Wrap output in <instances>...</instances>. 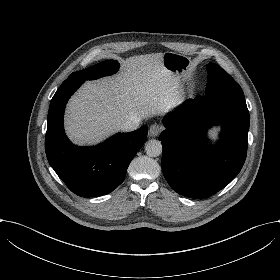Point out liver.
I'll list each match as a JSON object with an SVG mask.
<instances>
[{
    "label": "liver",
    "instance_id": "obj_1",
    "mask_svg": "<svg viewBox=\"0 0 280 280\" xmlns=\"http://www.w3.org/2000/svg\"><path fill=\"white\" fill-rule=\"evenodd\" d=\"M162 59L163 53L132 56L121 61L117 75L87 81L66 110L65 129L72 142L98 143L132 116L146 119L178 104L183 95L180 79Z\"/></svg>",
    "mask_w": 280,
    "mask_h": 280
}]
</instances>
